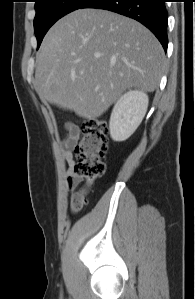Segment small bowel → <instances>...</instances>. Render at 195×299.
<instances>
[{"label":"small bowel","mask_w":195,"mask_h":299,"mask_svg":"<svg viewBox=\"0 0 195 299\" xmlns=\"http://www.w3.org/2000/svg\"><path fill=\"white\" fill-rule=\"evenodd\" d=\"M80 136V128L76 124H68L67 125V136L64 139V153L63 158L68 164L69 168L67 170V177L70 187L72 188L73 179H74V172H73V165L74 159L72 150L75 147L78 139Z\"/></svg>","instance_id":"obj_1"}]
</instances>
